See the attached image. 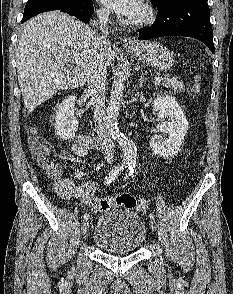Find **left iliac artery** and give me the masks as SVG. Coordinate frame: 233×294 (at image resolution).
Returning a JSON list of instances; mask_svg holds the SVG:
<instances>
[{"mask_svg":"<svg viewBox=\"0 0 233 294\" xmlns=\"http://www.w3.org/2000/svg\"><path fill=\"white\" fill-rule=\"evenodd\" d=\"M128 169H129V175L133 178L134 177V171H135V164L133 163H131V164H129L128 165ZM149 218L150 219H154L155 218V215L153 214V213H151L150 215H149Z\"/></svg>","mask_w":233,"mask_h":294,"instance_id":"44dca946","label":"left iliac artery"}]
</instances>
